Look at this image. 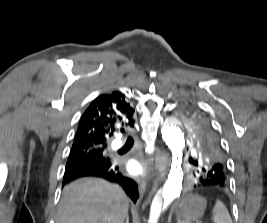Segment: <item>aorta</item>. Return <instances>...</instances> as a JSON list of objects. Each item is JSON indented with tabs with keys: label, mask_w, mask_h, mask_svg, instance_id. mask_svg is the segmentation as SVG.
Wrapping results in <instances>:
<instances>
[{
	"label": "aorta",
	"mask_w": 267,
	"mask_h": 223,
	"mask_svg": "<svg viewBox=\"0 0 267 223\" xmlns=\"http://www.w3.org/2000/svg\"><path fill=\"white\" fill-rule=\"evenodd\" d=\"M161 132L164 142L172 153V164L163 188L155 194L152 200L149 223H157L160 214L180 196L184 187L182 157L185 140L181 122L175 117L168 118Z\"/></svg>",
	"instance_id": "obj_1"
}]
</instances>
